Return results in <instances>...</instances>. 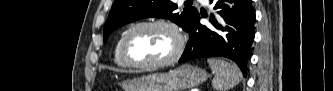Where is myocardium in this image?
I'll use <instances>...</instances> for the list:
<instances>
[{
  "mask_svg": "<svg viewBox=\"0 0 333 91\" xmlns=\"http://www.w3.org/2000/svg\"><path fill=\"white\" fill-rule=\"evenodd\" d=\"M165 27L172 31L174 36L176 37V47L172 55L163 60L153 63H142L133 60L129 54V40L131 36L139 29L146 28V27ZM185 48V38L180 30V28L171 21L163 20V19H156V20H149V21H142L139 22L132 27H130L124 34L121 42V55L124 61L133 68L142 69V70H151V69H159L167 67L173 63H175L183 54Z\"/></svg>",
  "mask_w": 333,
  "mask_h": 91,
  "instance_id": "1",
  "label": "myocardium"
}]
</instances>
